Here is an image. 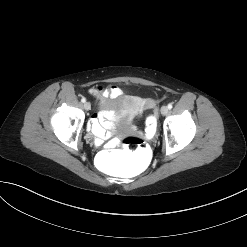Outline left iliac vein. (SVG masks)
Listing matches in <instances>:
<instances>
[{"mask_svg": "<svg viewBox=\"0 0 247 247\" xmlns=\"http://www.w3.org/2000/svg\"><path fill=\"white\" fill-rule=\"evenodd\" d=\"M168 107L167 106H162L161 107V114L162 115H167L168 114Z\"/></svg>", "mask_w": 247, "mask_h": 247, "instance_id": "4c4485c4", "label": "left iliac vein"}]
</instances>
